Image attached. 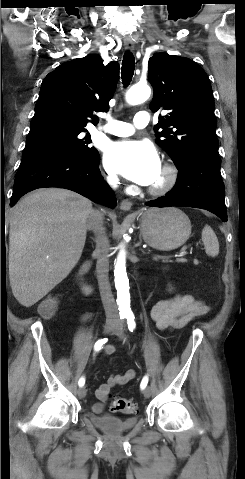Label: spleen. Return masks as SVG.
<instances>
[{
	"mask_svg": "<svg viewBox=\"0 0 245 479\" xmlns=\"http://www.w3.org/2000/svg\"><path fill=\"white\" fill-rule=\"evenodd\" d=\"M202 241L205 252L208 256L215 257L219 254V242L216 234L209 225H205L202 230Z\"/></svg>",
	"mask_w": 245,
	"mask_h": 479,
	"instance_id": "3e777b00",
	"label": "spleen"
}]
</instances>
